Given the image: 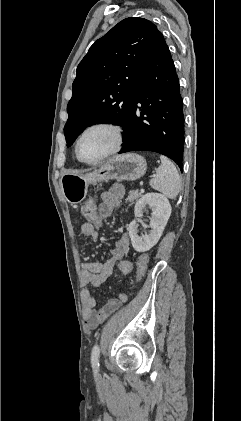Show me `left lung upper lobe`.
Returning a JSON list of instances; mask_svg holds the SVG:
<instances>
[{"label": "left lung upper lobe", "mask_w": 241, "mask_h": 421, "mask_svg": "<svg viewBox=\"0 0 241 421\" xmlns=\"http://www.w3.org/2000/svg\"><path fill=\"white\" fill-rule=\"evenodd\" d=\"M160 34L149 20L131 17L95 41L79 63L67 105V146L88 126L114 123L126 134L136 84Z\"/></svg>", "instance_id": "left-lung-upper-lobe-1"}]
</instances>
